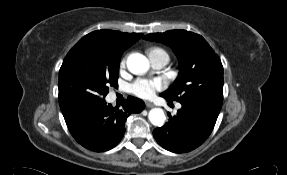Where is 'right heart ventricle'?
Here are the masks:
<instances>
[{
    "label": "right heart ventricle",
    "instance_id": "right-heart-ventricle-1",
    "mask_svg": "<svg viewBox=\"0 0 287 175\" xmlns=\"http://www.w3.org/2000/svg\"><path fill=\"white\" fill-rule=\"evenodd\" d=\"M159 51H163V50L160 49V48H153V49L150 50L149 54L155 53V52H159ZM163 52H164V51H163Z\"/></svg>",
    "mask_w": 287,
    "mask_h": 175
}]
</instances>
